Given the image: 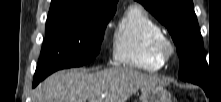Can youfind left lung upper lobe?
Here are the masks:
<instances>
[{
  "label": "left lung upper lobe",
  "instance_id": "1",
  "mask_svg": "<svg viewBox=\"0 0 221 102\" xmlns=\"http://www.w3.org/2000/svg\"><path fill=\"white\" fill-rule=\"evenodd\" d=\"M168 29L180 59L179 78L207 85L208 66L192 0H137Z\"/></svg>",
  "mask_w": 221,
  "mask_h": 102
}]
</instances>
